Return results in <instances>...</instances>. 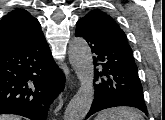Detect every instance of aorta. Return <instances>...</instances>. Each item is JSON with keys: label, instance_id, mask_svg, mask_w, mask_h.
<instances>
[{"label": "aorta", "instance_id": "762f6f07", "mask_svg": "<svg viewBox=\"0 0 165 120\" xmlns=\"http://www.w3.org/2000/svg\"><path fill=\"white\" fill-rule=\"evenodd\" d=\"M69 61L79 81L80 87L68 104L64 120H83L94 99V67L90 47L83 38H74L68 47Z\"/></svg>", "mask_w": 165, "mask_h": 120}]
</instances>
